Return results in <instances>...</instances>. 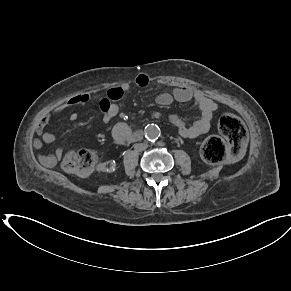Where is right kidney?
Instances as JSON below:
<instances>
[{"mask_svg": "<svg viewBox=\"0 0 291 291\" xmlns=\"http://www.w3.org/2000/svg\"><path fill=\"white\" fill-rule=\"evenodd\" d=\"M97 170H98V171H105V170H106L105 163H100V164H98V166H97Z\"/></svg>", "mask_w": 291, "mask_h": 291, "instance_id": "1", "label": "right kidney"}]
</instances>
